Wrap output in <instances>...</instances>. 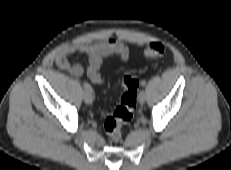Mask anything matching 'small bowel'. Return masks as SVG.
Masks as SVG:
<instances>
[{"mask_svg": "<svg viewBox=\"0 0 231 170\" xmlns=\"http://www.w3.org/2000/svg\"><path fill=\"white\" fill-rule=\"evenodd\" d=\"M73 54H83L88 58V67L79 63H70L69 57ZM117 55L121 61L129 59V48L117 39L109 38L98 43L79 42L62 47L55 58L56 65L68 71L71 75L80 77L85 72L88 78L96 85H102L104 77L99 73V68L105 58Z\"/></svg>", "mask_w": 231, "mask_h": 170, "instance_id": "1", "label": "small bowel"}]
</instances>
